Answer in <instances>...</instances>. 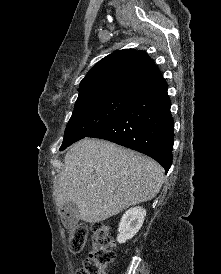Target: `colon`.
I'll return each instance as SVG.
<instances>
[{"mask_svg":"<svg viewBox=\"0 0 221 274\" xmlns=\"http://www.w3.org/2000/svg\"><path fill=\"white\" fill-rule=\"evenodd\" d=\"M88 228L82 223L69 225V250L80 253L86 244ZM113 238L110 228L103 223H94L91 228V249L77 274H104L113 261Z\"/></svg>","mask_w":221,"mask_h":274,"instance_id":"colon-1","label":"colon"}]
</instances>
